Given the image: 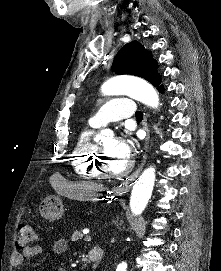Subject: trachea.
<instances>
[{
    "label": "trachea",
    "instance_id": "obj_1",
    "mask_svg": "<svg viewBox=\"0 0 221 271\" xmlns=\"http://www.w3.org/2000/svg\"><path fill=\"white\" fill-rule=\"evenodd\" d=\"M135 117L137 118L138 121H142V119H143L142 111H136Z\"/></svg>",
    "mask_w": 221,
    "mask_h": 271
}]
</instances>
